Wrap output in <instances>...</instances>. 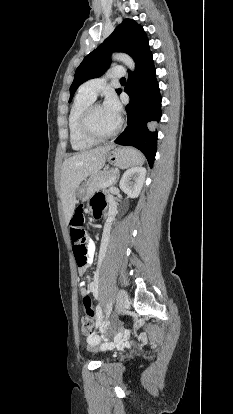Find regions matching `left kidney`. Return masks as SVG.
Returning <instances> with one entry per match:
<instances>
[{"label":"left kidney","instance_id":"left-kidney-1","mask_svg":"<svg viewBox=\"0 0 233 414\" xmlns=\"http://www.w3.org/2000/svg\"><path fill=\"white\" fill-rule=\"evenodd\" d=\"M146 169L144 167H132L122 176L119 187L130 198H137L145 181ZM134 182H131V180Z\"/></svg>","mask_w":233,"mask_h":414}]
</instances>
